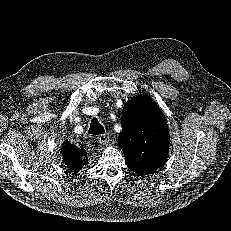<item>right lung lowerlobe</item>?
Segmentation results:
<instances>
[{
	"label": "right lung lower lobe",
	"instance_id": "obj_1",
	"mask_svg": "<svg viewBox=\"0 0 231 231\" xmlns=\"http://www.w3.org/2000/svg\"><path fill=\"white\" fill-rule=\"evenodd\" d=\"M62 149L66 150V151H68L70 153H73L75 155H79L80 153H82V151L86 153V151L83 148H78L75 145L70 144L68 142H65Z\"/></svg>",
	"mask_w": 231,
	"mask_h": 231
}]
</instances>
